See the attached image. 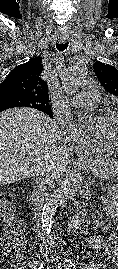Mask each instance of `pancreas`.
I'll return each mask as SVG.
<instances>
[{
  "label": "pancreas",
  "instance_id": "pancreas-1",
  "mask_svg": "<svg viewBox=\"0 0 118 269\" xmlns=\"http://www.w3.org/2000/svg\"><path fill=\"white\" fill-rule=\"evenodd\" d=\"M96 184H99L96 186L97 190H105V191H109L112 189L113 185V180H106V179H96L95 180Z\"/></svg>",
  "mask_w": 118,
  "mask_h": 269
}]
</instances>
